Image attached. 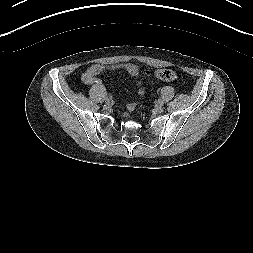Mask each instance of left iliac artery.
Returning a JSON list of instances; mask_svg holds the SVG:
<instances>
[{
	"label": "left iliac artery",
	"mask_w": 253,
	"mask_h": 253,
	"mask_svg": "<svg viewBox=\"0 0 253 253\" xmlns=\"http://www.w3.org/2000/svg\"><path fill=\"white\" fill-rule=\"evenodd\" d=\"M156 102H157L158 104H161V103L163 102V99H162L161 97H158V98L156 99Z\"/></svg>",
	"instance_id": "1"
}]
</instances>
